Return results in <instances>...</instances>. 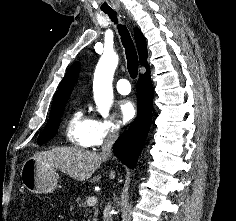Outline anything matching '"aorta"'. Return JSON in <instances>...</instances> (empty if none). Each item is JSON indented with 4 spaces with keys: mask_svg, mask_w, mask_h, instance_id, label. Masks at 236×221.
<instances>
[{
    "mask_svg": "<svg viewBox=\"0 0 236 221\" xmlns=\"http://www.w3.org/2000/svg\"><path fill=\"white\" fill-rule=\"evenodd\" d=\"M118 55L105 53L99 60V67L103 77L98 80L94 88V100L103 116H107L113 100L112 80L118 65Z\"/></svg>",
    "mask_w": 236,
    "mask_h": 221,
    "instance_id": "aorta-1",
    "label": "aorta"
}]
</instances>
